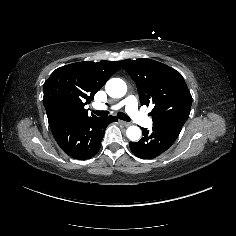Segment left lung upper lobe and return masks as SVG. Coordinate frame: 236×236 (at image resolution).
I'll return each instance as SVG.
<instances>
[{
  "instance_id": "1",
  "label": "left lung upper lobe",
  "mask_w": 236,
  "mask_h": 236,
  "mask_svg": "<svg viewBox=\"0 0 236 236\" xmlns=\"http://www.w3.org/2000/svg\"><path fill=\"white\" fill-rule=\"evenodd\" d=\"M121 64L137 85L141 105H154L149 114L153 125L181 130L192 104V96L182 75L147 58L123 60Z\"/></svg>"
}]
</instances>
